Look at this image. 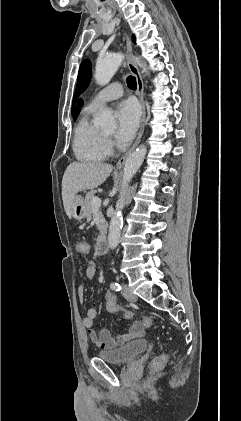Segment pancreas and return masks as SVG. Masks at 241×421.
I'll list each match as a JSON object with an SVG mask.
<instances>
[{"instance_id": "cf45deb5", "label": "pancreas", "mask_w": 241, "mask_h": 421, "mask_svg": "<svg viewBox=\"0 0 241 421\" xmlns=\"http://www.w3.org/2000/svg\"><path fill=\"white\" fill-rule=\"evenodd\" d=\"M94 194H95V191L92 190V191L88 192L86 194V197H85V206H86V211H87L86 217H87L88 221L92 220V214H93V211H94V208L92 206V200L95 197ZM97 214H98V219H99L100 230L102 232L106 229V226H107L106 220H105L102 212L99 209H98Z\"/></svg>"}]
</instances>
